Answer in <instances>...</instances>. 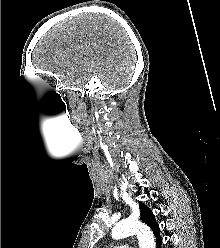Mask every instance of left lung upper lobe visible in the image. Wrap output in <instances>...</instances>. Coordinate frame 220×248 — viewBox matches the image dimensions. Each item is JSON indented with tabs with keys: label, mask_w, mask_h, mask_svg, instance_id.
Returning a JSON list of instances; mask_svg holds the SVG:
<instances>
[{
	"label": "left lung upper lobe",
	"mask_w": 220,
	"mask_h": 248,
	"mask_svg": "<svg viewBox=\"0 0 220 248\" xmlns=\"http://www.w3.org/2000/svg\"><path fill=\"white\" fill-rule=\"evenodd\" d=\"M139 204H140V210H141V214H140L141 220L145 222L152 229L154 234H156L159 231V226L157 225V222L155 221L153 212L142 202H140Z\"/></svg>",
	"instance_id": "obj_1"
}]
</instances>
